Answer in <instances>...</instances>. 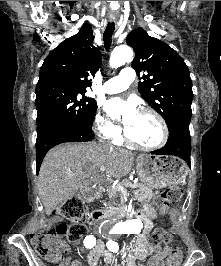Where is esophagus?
Here are the masks:
<instances>
[{
    "label": "esophagus",
    "instance_id": "1",
    "mask_svg": "<svg viewBox=\"0 0 221 266\" xmlns=\"http://www.w3.org/2000/svg\"><path fill=\"white\" fill-rule=\"evenodd\" d=\"M111 22H115V20H111Z\"/></svg>",
    "mask_w": 221,
    "mask_h": 266
}]
</instances>
